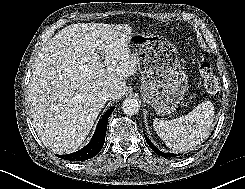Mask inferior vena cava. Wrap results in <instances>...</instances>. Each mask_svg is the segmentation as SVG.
Returning <instances> with one entry per match:
<instances>
[{
    "instance_id": "obj_1",
    "label": "inferior vena cava",
    "mask_w": 245,
    "mask_h": 189,
    "mask_svg": "<svg viewBox=\"0 0 245 189\" xmlns=\"http://www.w3.org/2000/svg\"><path fill=\"white\" fill-rule=\"evenodd\" d=\"M114 95V91L111 89L105 90L102 95V99L105 101L110 100Z\"/></svg>"
}]
</instances>
